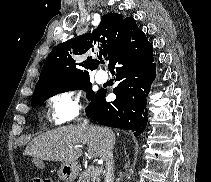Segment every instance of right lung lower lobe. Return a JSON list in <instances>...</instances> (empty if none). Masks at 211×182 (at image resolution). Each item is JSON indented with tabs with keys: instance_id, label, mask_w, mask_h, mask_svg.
<instances>
[{
	"instance_id": "right-lung-lower-lobe-1",
	"label": "right lung lower lobe",
	"mask_w": 211,
	"mask_h": 182,
	"mask_svg": "<svg viewBox=\"0 0 211 182\" xmlns=\"http://www.w3.org/2000/svg\"><path fill=\"white\" fill-rule=\"evenodd\" d=\"M152 51L153 46L142 31L119 48L110 67L116 68V80L120 81L113 90L116 99L106 102L104 89L95 93L86 109L90 119L105 126L131 130L135 136L145 130L146 97L156 73Z\"/></svg>"
}]
</instances>
